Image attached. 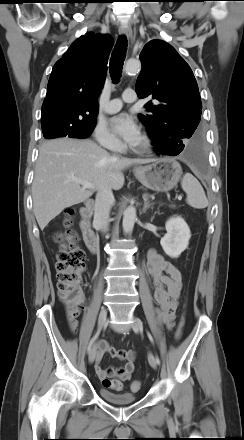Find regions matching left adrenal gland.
<instances>
[{"label": "left adrenal gland", "instance_id": "1", "mask_svg": "<svg viewBox=\"0 0 244 440\" xmlns=\"http://www.w3.org/2000/svg\"><path fill=\"white\" fill-rule=\"evenodd\" d=\"M148 199H149V195L148 194L143 195V200H144V206H143V209H142L143 213H145L147 211V209H149V208L153 209V205L154 204L150 203L148 201Z\"/></svg>", "mask_w": 244, "mask_h": 440}]
</instances>
